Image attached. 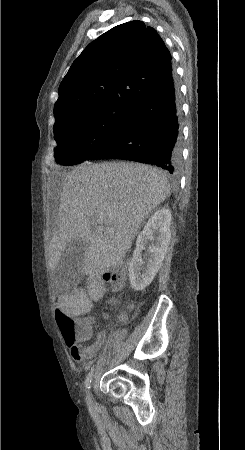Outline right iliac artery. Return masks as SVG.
<instances>
[{
    "label": "right iliac artery",
    "instance_id": "right-iliac-artery-1",
    "mask_svg": "<svg viewBox=\"0 0 245 450\" xmlns=\"http://www.w3.org/2000/svg\"><path fill=\"white\" fill-rule=\"evenodd\" d=\"M93 373H94V369H92L89 372V374L86 377V381H85V387H86V392H87L88 404L89 405H92V397H91V393H90V388H91V381H92Z\"/></svg>",
    "mask_w": 245,
    "mask_h": 450
}]
</instances>
